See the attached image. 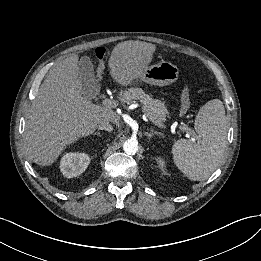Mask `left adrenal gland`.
<instances>
[{"instance_id": "obj_1", "label": "left adrenal gland", "mask_w": 261, "mask_h": 261, "mask_svg": "<svg viewBox=\"0 0 261 261\" xmlns=\"http://www.w3.org/2000/svg\"><path fill=\"white\" fill-rule=\"evenodd\" d=\"M144 135H146L150 140L154 135H162V134L160 132H155L154 130H151L150 132H145Z\"/></svg>"}]
</instances>
